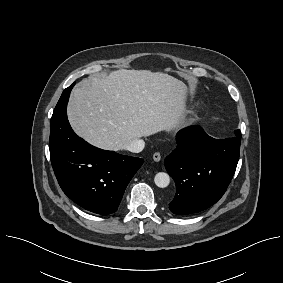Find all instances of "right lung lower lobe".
<instances>
[{
    "mask_svg": "<svg viewBox=\"0 0 283 283\" xmlns=\"http://www.w3.org/2000/svg\"><path fill=\"white\" fill-rule=\"evenodd\" d=\"M66 88L50 122V159L63 192L84 209L108 215L118 209L143 159L96 148L76 136L67 119L71 92Z\"/></svg>",
    "mask_w": 283,
    "mask_h": 283,
    "instance_id": "1",
    "label": "right lung lower lobe"
}]
</instances>
